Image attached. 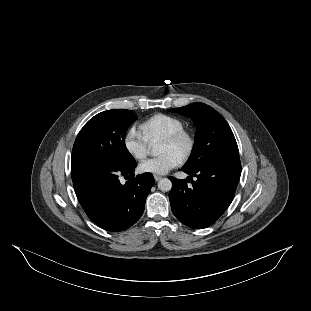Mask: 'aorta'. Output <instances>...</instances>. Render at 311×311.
Returning a JSON list of instances; mask_svg holds the SVG:
<instances>
[{"label":"aorta","mask_w":311,"mask_h":311,"mask_svg":"<svg viewBox=\"0 0 311 311\" xmlns=\"http://www.w3.org/2000/svg\"><path fill=\"white\" fill-rule=\"evenodd\" d=\"M152 155L157 156L158 154V149L157 148H153L151 150ZM158 188L161 191L167 192L170 191L172 188V182L168 179V178H162L161 180H159L158 182Z\"/></svg>","instance_id":"1"}]
</instances>
